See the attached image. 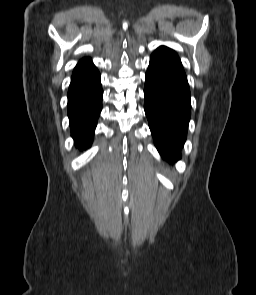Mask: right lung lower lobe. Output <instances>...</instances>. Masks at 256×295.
<instances>
[{"mask_svg": "<svg viewBox=\"0 0 256 295\" xmlns=\"http://www.w3.org/2000/svg\"><path fill=\"white\" fill-rule=\"evenodd\" d=\"M102 96L100 73L90 58H83L74 68L68 90L71 136L80 150L92 144L102 109Z\"/></svg>", "mask_w": 256, "mask_h": 295, "instance_id": "1", "label": "right lung lower lobe"}]
</instances>
